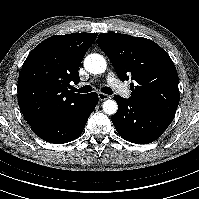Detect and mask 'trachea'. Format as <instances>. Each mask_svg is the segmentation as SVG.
<instances>
[{"label": "trachea", "instance_id": "obj_1", "mask_svg": "<svg viewBox=\"0 0 199 199\" xmlns=\"http://www.w3.org/2000/svg\"><path fill=\"white\" fill-rule=\"evenodd\" d=\"M75 92H80V93H88V92H91L92 91V87L90 85H86V86H83L81 87L80 89H74ZM101 91L105 94H108V95H112L113 94V91L110 87H103L101 89Z\"/></svg>", "mask_w": 199, "mask_h": 199}]
</instances>
